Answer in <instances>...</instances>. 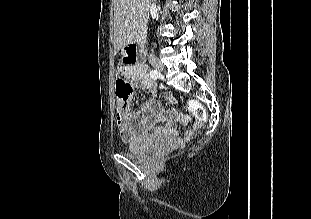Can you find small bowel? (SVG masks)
<instances>
[{
	"label": "small bowel",
	"instance_id": "c3829d8e",
	"mask_svg": "<svg viewBox=\"0 0 311 219\" xmlns=\"http://www.w3.org/2000/svg\"><path fill=\"white\" fill-rule=\"evenodd\" d=\"M118 71L128 77L134 87L151 93L138 112L127 111L123 115H118L117 126L122 139L131 143L149 134L165 140L176 139L178 135L176 124L187 125L191 118L176 110H164L154 92L156 82L149 76L146 66L141 61L133 66L120 67ZM167 101L172 105L176 104L175 98L171 95L167 96Z\"/></svg>",
	"mask_w": 311,
	"mask_h": 219
}]
</instances>
